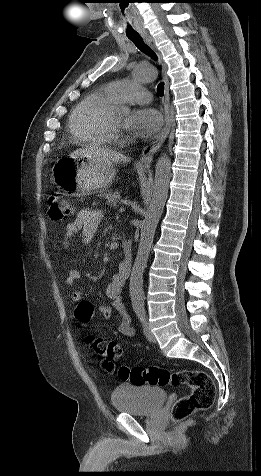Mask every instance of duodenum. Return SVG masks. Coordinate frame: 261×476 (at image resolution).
Segmentation results:
<instances>
[{"label": "duodenum", "mask_w": 261, "mask_h": 476, "mask_svg": "<svg viewBox=\"0 0 261 476\" xmlns=\"http://www.w3.org/2000/svg\"><path fill=\"white\" fill-rule=\"evenodd\" d=\"M122 251H123V261L121 266L123 270L127 273L130 272L132 259H133V252H132V245L129 240L122 241Z\"/></svg>", "instance_id": "obj_1"}]
</instances>
